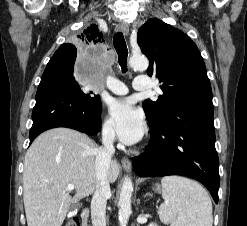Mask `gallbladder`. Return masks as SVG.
<instances>
[{"label": "gallbladder", "instance_id": "gallbladder-1", "mask_svg": "<svg viewBox=\"0 0 247 226\" xmlns=\"http://www.w3.org/2000/svg\"><path fill=\"white\" fill-rule=\"evenodd\" d=\"M80 207V205H74V206H72V210H77L78 208Z\"/></svg>", "mask_w": 247, "mask_h": 226}]
</instances>
